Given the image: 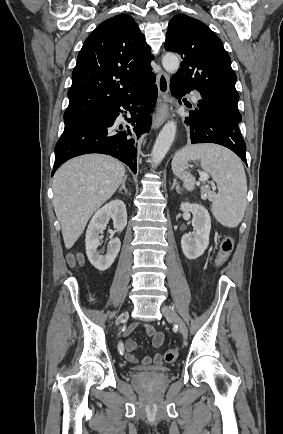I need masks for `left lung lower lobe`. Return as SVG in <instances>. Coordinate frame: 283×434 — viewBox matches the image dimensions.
Wrapping results in <instances>:
<instances>
[{
	"label": "left lung lower lobe",
	"instance_id": "0a47b994",
	"mask_svg": "<svg viewBox=\"0 0 283 434\" xmlns=\"http://www.w3.org/2000/svg\"><path fill=\"white\" fill-rule=\"evenodd\" d=\"M170 90L177 99L192 91L173 79L170 81ZM240 122L239 111L206 99H200L197 107L190 110L189 116L185 118L192 144H220L246 162V144L238 127Z\"/></svg>",
	"mask_w": 283,
	"mask_h": 434
}]
</instances>
